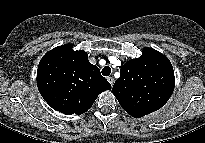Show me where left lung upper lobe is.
Masks as SVG:
<instances>
[{
	"label": "left lung upper lobe",
	"mask_w": 205,
	"mask_h": 143,
	"mask_svg": "<svg viewBox=\"0 0 205 143\" xmlns=\"http://www.w3.org/2000/svg\"><path fill=\"white\" fill-rule=\"evenodd\" d=\"M174 85V71L169 59L145 47L139 58L122 66L112 93L126 112L138 118L164 106Z\"/></svg>",
	"instance_id": "1"
}]
</instances>
